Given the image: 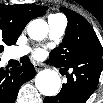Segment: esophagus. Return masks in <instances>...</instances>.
<instances>
[{
  "label": "esophagus",
  "instance_id": "esophagus-1",
  "mask_svg": "<svg viewBox=\"0 0 103 103\" xmlns=\"http://www.w3.org/2000/svg\"><path fill=\"white\" fill-rule=\"evenodd\" d=\"M34 67L36 71H40L44 68V65L42 63H35Z\"/></svg>",
  "mask_w": 103,
  "mask_h": 103
}]
</instances>
